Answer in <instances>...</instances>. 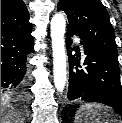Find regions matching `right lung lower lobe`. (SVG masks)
<instances>
[{"mask_svg":"<svg viewBox=\"0 0 122 123\" xmlns=\"http://www.w3.org/2000/svg\"><path fill=\"white\" fill-rule=\"evenodd\" d=\"M32 51L31 29L1 30V96H14L20 102L25 100L29 82L27 56Z\"/></svg>","mask_w":122,"mask_h":123,"instance_id":"right-lung-lower-lobe-1","label":"right lung lower lobe"}]
</instances>
